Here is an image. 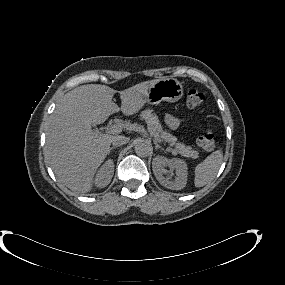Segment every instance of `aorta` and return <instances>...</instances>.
<instances>
[{"label":"aorta","mask_w":285,"mask_h":285,"mask_svg":"<svg viewBox=\"0 0 285 285\" xmlns=\"http://www.w3.org/2000/svg\"><path fill=\"white\" fill-rule=\"evenodd\" d=\"M151 151L152 146L148 141L139 139L135 142V152L138 156L147 157Z\"/></svg>","instance_id":"aorta-1"}]
</instances>
